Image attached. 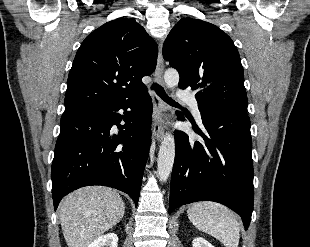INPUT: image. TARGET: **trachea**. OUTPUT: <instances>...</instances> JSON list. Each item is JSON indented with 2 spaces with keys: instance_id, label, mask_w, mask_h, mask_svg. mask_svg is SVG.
<instances>
[{
  "instance_id": "3493384b",
  "label": "trachea",
  "mask_w": 310,
  "mask_h": 247,
  "mask_svg": "<svg viewBox=\"0 0 310 247\" xmlns=\"http://www.w3.org/2000/svg\"><path fill=\"white\" fill-rule=\"evenodd\" d=\"M152 88L155 89L156 93H157L165 102H167L168 104H171V105H177V103L165 93L164 89H163L160 85H158V84H153V85H152Z\"/></svg>"
}]
</instances>
